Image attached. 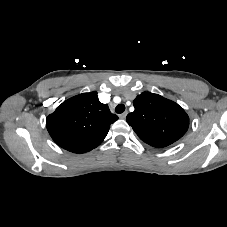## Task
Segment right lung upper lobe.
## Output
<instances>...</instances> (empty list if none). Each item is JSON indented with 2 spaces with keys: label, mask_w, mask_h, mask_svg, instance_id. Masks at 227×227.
<instances>
[{
  "label": "right lung upper lobe",
  "mask_w": 227,
  "mask_h": 227,
  "mask_svg": "<svg viewBox=\"0 0 227 227\" xmlns=\"http://www.w3.org/2000/svg\"><path fill=\"white\" fill-rule=\"evenodd\" d=\"M117 119L93 91L64 101L47 117L46 127L57 145L70 152L85 153L101 144Z\"/></svg>",
  "instance_id": "1"
}]
</instances>
